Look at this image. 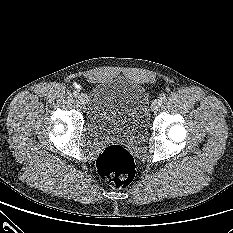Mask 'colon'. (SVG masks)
I'll list each match as a JSON object with an SVG mask.
<instances>
[{
	"label": "colon",
	"instance_id": "5ec220e1",
	"mask_svg": "<svg viewBox=\"0 0 233 233\" xmlns=\"http://www.w3.org/2000/svg\"><path fill=\"white\" fill-rule=\"evenodd\" d=\"M100 176L111 186L123 188L134 177L135 164L131 154L121 145L107 146L96 161Z\"/></svg>",
	"mask_w": 233,
	"mask_h": 233
}]
</instances>
